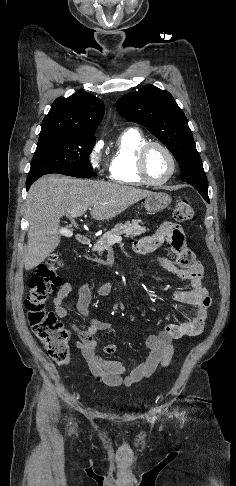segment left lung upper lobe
<instances>
[{
	"instance_id": "obj_1",
	"label": "left lung upper lobe",
	"mask_w": 236,
	"mask_h": 486,
	"mask_svg": "<svg viewBox=\"0 0 236 486\" xmlns=\"http://www.w3.org/2000/svg\"><path fill=\"white\" fill-rule=\"evenodd\" d=\"M118 113L144 125L172 152L180 164L181 180L194 186L209 203L207 179L184 112L168 91L147 85L122 96Z\"/></svg>"
}]
</instances>
